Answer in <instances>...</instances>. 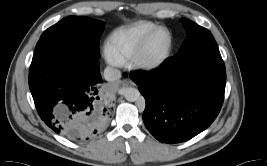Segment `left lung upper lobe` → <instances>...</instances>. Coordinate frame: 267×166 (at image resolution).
Here are the masks:
<instances>
[{
    "label": "left lung upper lobe",
    "mask_w": 267,
    "mask_h": 166,
    "mask_svg": "<svg viewBox=\"0 0 267 166\" xmlns=\"http://www.w3.org/2000/svg\"><path fill=\"white\" fill-rule=\"evenodd\" d=\"M182 22L186 30L187 36L177 55H181L187 52L200 42L214 40V37L212 36L210 31L206 28H203L186 18H182Z\"/></svg>",
    "instance_id": "left-lung-upper-lobe-1"
}]
</instances>
